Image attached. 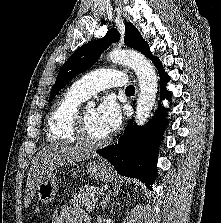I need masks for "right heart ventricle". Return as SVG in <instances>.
Returning a JSON list of instances; mask_svg holds the SVG:
<instances>
[{
  "label": "right heart ventricle",
  "instance_id": "right-heart-ventricle-1",
  "mask_svg": "<svg viewBox=\"0 0 221 223\" xmlns=\"http://www.w3.org/2000/svg\"><path fill=\"white\" fill-rule=\"evenodd\" d=\"M84 100L71 88L63 92L53 104L47 118L46 136L50 142L74 143L72 126L79 104Z\"/></svg>",
  "mask_w": 221,
  "mask_h": 223
}]
</instances>
